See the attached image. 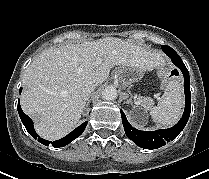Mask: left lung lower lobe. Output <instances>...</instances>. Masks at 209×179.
Listing matches in <instances>:
<instances>
[{"instance_id": "obj_1", "label": "left lung lower lobe", "mask_w": 209, "mask_h": 179, "mask_svg": "<svg viewBox=\"0 0 209 179\" xmlns=\"http://www.w3.org/2000/svg\"><path fill=\"white\" fill-rule=\"evenodd\" d=\"M169 47V46H168ZM163 50L172 60V62L181 70L184 76V92H185V110L180 121L173 127L168 129H160L156 131H141L133 128L128 122L124 112L121 110L122 123L125 134L136 145L144 149H157L164 146L167 142L174 140L185 127L191 111V92L190 77L187 68L182 62L179 55L171 48Z\"/></svg>"}]
</instances>
